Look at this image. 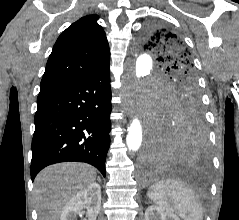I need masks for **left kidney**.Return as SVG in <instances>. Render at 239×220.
I'll return each mask as SVG.
<instances>
[{"label":"left kidney","mask_w":239,"mask_h":220,"mask_svg":"<svg viewBox=\"0 0 239 220\" xmlns=\"http://www.w3.org/2000/svg\"><path fill=\"white\" fill-rule=\"evenodd\" d=\"M145 220H180V218L172 211H165L156 205H151L145 211Z\"/></svg>","instance_id":"5707ae66"}]
</instances>
